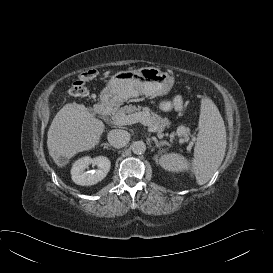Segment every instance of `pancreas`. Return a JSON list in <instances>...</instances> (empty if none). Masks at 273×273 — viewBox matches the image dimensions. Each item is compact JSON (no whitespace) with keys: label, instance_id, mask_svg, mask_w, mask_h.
I'll use <instances>...</instances> for the list:
<instances>
[{"label":"pancreas","instance_id":"pancreas-1","mask_svg":"<svg viewBox=\"0 0 273 273\" xmlns=\"http://www.w3.org/2000/svg\"><path fill=\"white\" fill-rule=\"evenodd\" d=\"M137 112L148 114V120L151 123V126L154 127L157 132L164 131L165 127L170 125L168 118L161 117L160 115L152 112L148 107H136L132 104L126 105L118 109L115 113L112 114L111 119L114 122L117 119ZM177 135L179 137H182L185 141H188L190 139V129L181 125L177 128Z\"/></svg>","mask_w":273,"mask_h":273}]
</instances>
